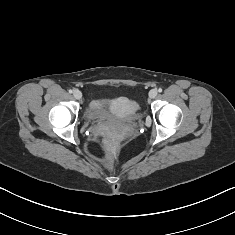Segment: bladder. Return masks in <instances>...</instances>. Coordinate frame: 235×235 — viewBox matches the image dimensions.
Masks as SVG:
<instances>
[{
	"label": "bladder",
	"mask_w": 235,
	"mask_h": 235,
	"mask_svg": "<svg viewBox=\"0 0 235 235\" xmlns=\"http://www.w3.org/2000/svg\"><path fill=\"white\" fill-rule=\"evenodd\" d=\"M119 101L107 97L90 100L85 108L86 119L121 123L140 115V111H135L134 103L129 99L126 100L127 111H120L118 108Z\"/></svg>",
	"instance_id": "1"
}]
</instances>
